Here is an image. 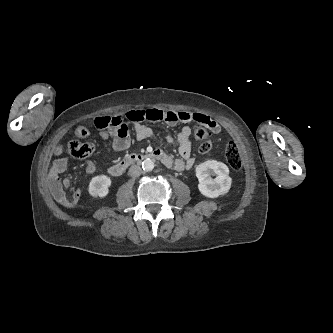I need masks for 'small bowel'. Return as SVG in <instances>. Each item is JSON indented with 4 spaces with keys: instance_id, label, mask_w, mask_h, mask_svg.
<instances>
[{
    "instance_id": "small-bowel-1",
    "label": "small bowel",
    "mask_w": 333,
    "mask_h": 333,
    "mask_svg": "<svg viewBox=\"0 0 333 333\" xmlns=\"http://www.w3.org/2000/svg\"><path fill=\"white\" fill-rule=\"evenodd\" d=\"M127 122L133 127V131L137 140H145L154 138V132L151 128L144 125V121H158L156 117H161L160 120L165 121L169 125L197 123L205 126L213 134L221 132L220 125L210 118L208 115L200 112L176 111V110H161L158 108L151 109H136L126 113ZM191 134L192 130L189 126H184L176 138L168 136L169 141H174L178 145V153L180 158L173 160L168 154L160 151L165 156L163 163L167 167H173L177 171L189 170L194 166V159L191 156ZM85 135L77 134L78 137L85 138ZM100 136L103 139H111L113 148L117 151H123L130 145L129 131L122 134L116 130L104 129L101 130ZM68 168V159L66 157L57 158L51 165L48 173V184L54 198L62 205L69 206L75 204L80 199V190H74L67 193V180L61 178V175ZM85 170L88 174L95 172L96 167L92 161L85 162Z\"/></svg>"
}]
</instances>
